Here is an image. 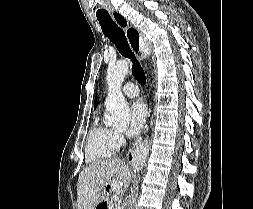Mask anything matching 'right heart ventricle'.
Instances as JSON below:
<instances>
[{
  "instance_id": "obj_1",
  "label": "right heart ventricle",
  "mask_w": 253,
  "mask_h": 209,
  "mask_svg": "<svg viewBox=\"0 0 253 209\" xmlns=\"http://www.w3.org/2000/svg\"><path fill=\"white\" fill-rule=\"evenodd\" d=\"M114 131L100 123L96 118L92 124L86 141V159L95 163L110 158L117 150Z\"/></svg>"
}]
</instances>
